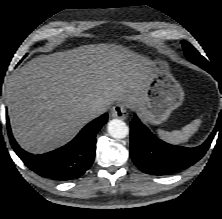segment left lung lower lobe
Masks as SVG:
<instances>
[{
  "label": "left lung lower lobe",
  "mask_w": 222,
  "mask_h": 219,
  "mask_svg": "<svg viewBox=\"0 0 222 219\" xmlns=\"http://www.w3.org/2000/svg\"><path fill=\"white\" fill-rule=\"evenodd\" d=\"M189 61L215 77L209 63L206 65L205 63ZM221 115L222 112L208 139L202 145L194 148L170 145L161 141L134 115L130 122V155L134 164L144 173L151 175H167L190 167L204 156L219 126L222 127Z\"/></svg>",
  "instance_id": "obj_1"
}]
</instances>
